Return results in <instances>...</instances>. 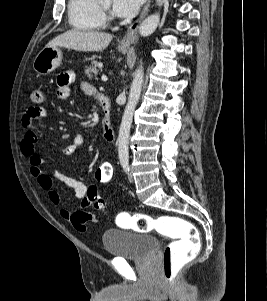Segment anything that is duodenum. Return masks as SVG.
Instances as JSON below:
<instances>
[{"mask_svg": "<svg viewBox=\"0 0 267 301\" xmlns=\"http://www.w3.org/2000/svg\"><path fill=\"white\" fill-rule=\"evenodd\" d=\"M96 97H97V99L101 105L102 111H103L102 127L104 130L105 139L109 142H112L115 139V132L111 125L110 101L106 96L99 95L98 93H97Z\"/></svg>", "mask_w": 267, "mask_h": 301, "instance_id": "obj_1", "label": "duodenum"}]
</instances>
